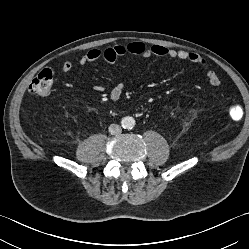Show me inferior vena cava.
<instances>
[{"label": "inferior vena cava", "mask_w": 249, "mask_h": 249, "mask_svg": "<svg viewBox=\"0 0 249 249\" xmlns=\"http://www.w3.org/2000/svg\"><path fill=\"white\" fill-rule=\"evenodd\" d=\"M121 131H122L121 126L118 124L113 123L109 126V132L112 135H119Z\"/></svg>", "instance_id": "1"}]
</instances>
